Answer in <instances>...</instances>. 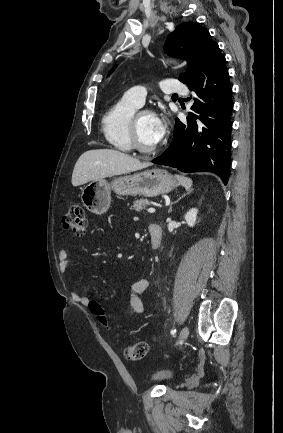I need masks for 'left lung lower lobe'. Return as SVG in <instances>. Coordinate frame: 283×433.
I'll return each instance as SVG.
<instances>
[{
    "mask_svg": "<svg viewBox=\"0 0 283 433\" xmlns=\"http://www.w3.org/2000/svg\"><path fill=\"white\" fill-rule=\"evenodd\" d=\"M225 57L215 43L184 82L198 98L187 121L176 119L174 137L152 162L183 172L214 173L226 185L230 174L232 90Z\"/></svg>",
    "mask_w": 283,
    "mask_h": 433,
    "instance_id": "obj_1",
    "label": "left lung lower lobe"
}]
</instances>
